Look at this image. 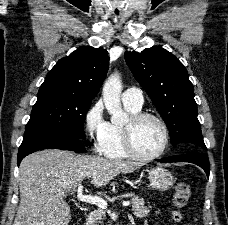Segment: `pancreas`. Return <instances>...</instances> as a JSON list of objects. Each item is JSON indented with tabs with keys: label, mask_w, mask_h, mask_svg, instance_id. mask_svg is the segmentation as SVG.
<instances>
[{
	"label": "pancreas",
	"mask_w": 228,
	"mask_h": 225,
	"mask_svg": "<svg viewBox=\"0 0 228 225\" xmlns=\"http://www.w3.org/2000/svg\"><path fill=\"white\" fill-rule=\"evenodd\" d=\"M128 195L132 197V211H134L135 217H139V219H142V217H147L152 207H144V199H139V197H136L134 193H128ZM103 215H105L103 209L93 211V213H90L88 219H86L85 225H95V223H102L101 217H103Z\"/></svg>",
	"instance_id": "pancreas-1"
}]
</instances>
